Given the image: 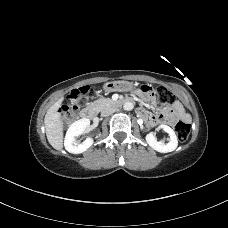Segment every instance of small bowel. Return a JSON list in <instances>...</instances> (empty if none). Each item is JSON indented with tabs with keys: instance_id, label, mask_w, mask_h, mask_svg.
Instances as JSON below:
<instances>
[{
	"instance_id": "1",
	"label": "small bowel",
	"mask_w": 228,
	"mask_h": 228,
	"mask_svg": "<svg viewBox=\"0 0 228 228\" xmlns=\"http://www.w3.org/2000/svg\"><path fill=\"white\" fill-rule=\"evenodd\" d=\"M142 97L144 100L152 103L155 101L154 96L150 93L142 94ZM139 112L144 116L148 115L147 110L144 108H140ZM177 119H182L185 121L189 120L188 114L184 111L183 106L178 101H176L173 104L171 111H165L163 113L151 116L150 122L152 124H158V123L173 124Z\"/></svg>"
}]
</instances>
